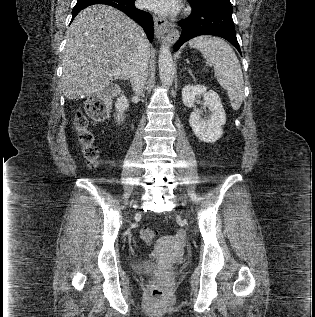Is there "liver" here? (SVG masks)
<instances>
[{"label":"liver","mask_w":315,"mask_h":317,"mask_svg":"<svg viewBox=\"0 0 315 317\" xmlns=\"http://www.w3.org/2000/svg\"><path fill=\"white\" fill-rule=\"evenodd\" d=\"M144 37L137 23L113 7L93 5L82 10L66 32L61 80L64 96L69 100L91 97L113 77L129 79ZM148 54H154L150 45Z\"/></svg>","instance_id":"1"}]
</instances>
